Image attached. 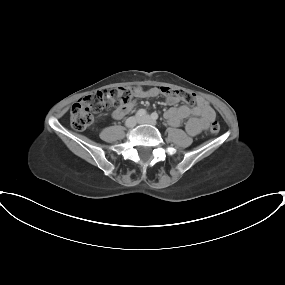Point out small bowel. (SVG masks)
<instances>
[{
  "label": "small bowel",
  "mask_w": 285,
  "mask_h": 285,
  "mask_svg": "<svg viewBox=\"0 0 285 285\" xmlns=\"http://www.w3.org/2000/svg\"><path fill=\"white\" fill-rule=\"evenodd\" d=\"M160 93L161 91L158 87H153L148 90L144 89L142 86L134 87V99L117 107L112 112L113 118H123L129 110L135 106L136 99L156 97ZM180 101L181 99L178 96H167V102L172 107L165 112L164 117L172 126H179L185 119H188L186 123V131L191 136L197 135L201 131L205 130L210 122H212L216 117L214 109L210 106L208 101L201 96L197 97V103L194 107L186 105L176 106Z\"/></svg>",
  "instance_id": "small-bowel-1"
}]
</instances>
